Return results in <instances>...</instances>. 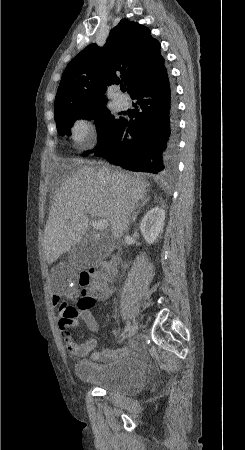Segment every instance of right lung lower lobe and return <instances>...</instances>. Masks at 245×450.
<instances>
[{
	"label": "right lung lower lobe",
	"mask_w": 245,
	"mask_h": 450,
	"mask_svg": "<svg viewBox=\"0 0 245 450\" xmlns=\"http://www.w3.org/2000/svg\"><path fill=\"white\" fill-rule=\"evenodd\" d=\"M135 120L121 118L113 141L96 153L132 171L172 174L177 164L175 104L165 67L134 93Z\"/></svg>",
	"instance_id": "obj_1"
}]
</instances>
